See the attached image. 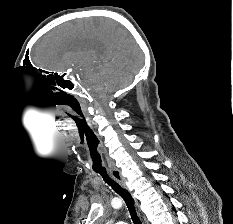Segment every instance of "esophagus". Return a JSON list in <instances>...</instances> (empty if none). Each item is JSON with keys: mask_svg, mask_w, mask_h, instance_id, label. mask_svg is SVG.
Masks as SVG:
<instances>
[{"mask_svg": "<svg viewBox=\"0 0 233 224\" xmlns=\"http://www.w3.org/2000/svg\"><path fill=\"white\" fill-rule=\"evenodd\" d=\"M110 176H111L116 182H118L122 187H124L125 189H127L125 180H124V178L122 177L120 170H117V169H116V170H112V171L110 172ZM136 203H137V201H136ZM137 205H138V203H137ZM143 220H144V224H148V221L146 220L145 217H144Z\"/></svg>", "mask_w": 233, "mask_h": 224, "instance_id": "34e87169", "label": "esophagus"}]
</instances>
